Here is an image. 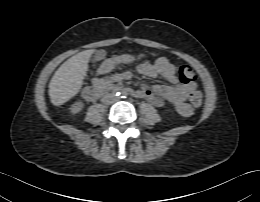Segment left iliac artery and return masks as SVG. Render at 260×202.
<instances>
[{
    "instance_id": "obj_1",
    "label": "left iliac artery",
    "mask_w": 260,
    "mask_h": 202,
    "mask_svg": "<svg viewBox=\"0 0 260 202\" xmlns=\"http://www.w3.org/2000/svg\"><path fill=\"white\" fill-rule=\"evenodd\" d=\"M127 95H128V93H126V92H122V98H126Z\"/></svg>"
}]
</instances>
